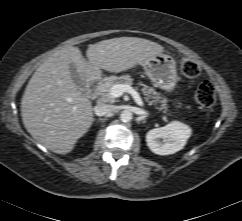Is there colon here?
Returning a JSON list of instances; mask_svg holds the SVG:
<instances>
[{
  "label": "colon",
  "instance_id": "obj_1",
  "mask_svg": "<svg viewBox=\"0 0 242 221\" xmlns=\"http://www.w3.org/2000/svg\"><path fill=\"white\" fill-rule=\"evenodd\" d=\"M181 70L183 74L189 78L199 76L201 72L200 65L192 59H184L181 62ZM196 102L203 108H210L216 100V92L213 84L209 81L203 82L196 92Z\"/></svg>",
  "mask_w": 242,
  "mask_h": 221
}]
</instances>
